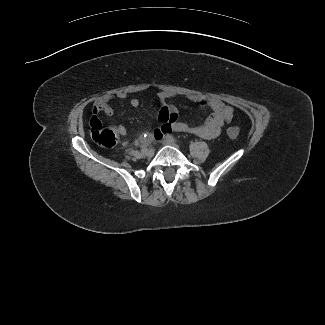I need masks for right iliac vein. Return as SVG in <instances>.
Here are the masks:
<instances>
[{
  "mask_svg": "<svg viewBox=\"0 0 325 325\" xmlns=\"http://www.w3.org/2000/svg\"><path fill=\"white\" fill-rule=\"evenodd\" d=\"M144 154L147 157H152L154 155V150L152 148L147 149V151Z\"/></svg>",
  "mask_w": 325,
  "mask_h": 325,
  "instance_id": "63e3f726",
  "label": "right iliac vein"
}]
</instances>
